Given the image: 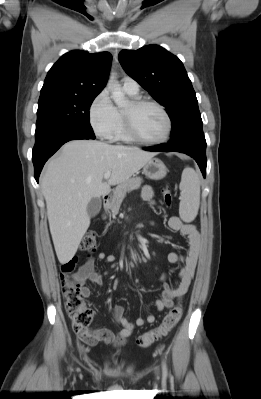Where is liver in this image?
Listing matches in <instances>:
<instances>
[{"label":"liver","mask_w":261,"mask_h":399,"mask_svg":"<svg viewBox=\"0 0 261 399\" xmlns=\"http://www.w3.org/2000/svg\"><path fill=\"white\" fill-rule=\"evenodd\" d=\"M154 156L155 153L134 147L73 140L48 162L40 184L61 264L73 258L89 228L87 205L90 200L108 194L111 185L130 179ZM107 171H111V175L103 182Z\"/></svg>","instance_id":"1"}]
</instances>
